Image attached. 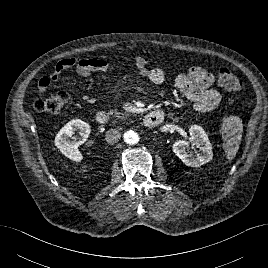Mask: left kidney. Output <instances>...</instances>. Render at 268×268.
<instances>
[{
  "label": "left kidney",
  "mask_w": 268,
  "mask_h": 268,
  "mask_svg": "<svg viewBox=\"0 0 268 268\" xmlns=\"http://www.w3.org/2000/svg\"><path fill=\"white\" fill-rule=\"evenodd\" d=\"M190 138L188 140H178L173 144V152L182 162L191 167H199L212 160V145L207 134L201 126L192 125L189 128ZM196 145L201 153H193L188 151L189 144Z\"/></svg>",
  "instance_id": "1"
}]
</instances>
